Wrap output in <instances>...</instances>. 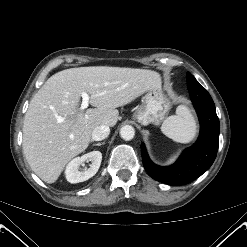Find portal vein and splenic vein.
Here are the masks:
<instances>
[{
	"mask_svg": "<svg viewBox=\"0 0 247 247\" xmlns=\"http://www.w3.org/2000/svg\"><path fill=\"white\" fill-rule=\"evenodd\" d=\"M100 95H101V93L100 94L93 95V96H89L86 92H83L81 94L82 103H81L80 109L81 110H85L86 108H88L90 98L91 97H97V96H100Z\"/></svg>",
	"mask_w": 247,
	"mask_h": 247,
	"instance_id": "18ae733b",
	"label": "portal vein and splenic vein"
}]
</instances>
